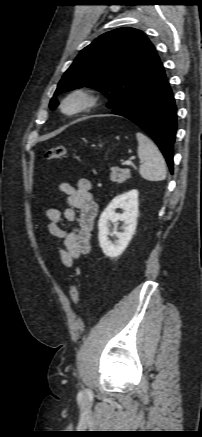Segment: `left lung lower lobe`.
I'll use <instances>...</instances> for the list:
<instances>
[{
	"mask_svg": "<svg viewBox=\"0 0 202 437\" xmlns=\"http://www.w3.org/2000/svg\"><path fill=\"white\" fill-rule=\"evenodd\" d=\"M112 114L130 119L158 145L173 173V145L177 114L172 89L165 71L112 110Z\"/></svg>",
	"mask_w": 202,
	"mask_h": 437,
	"instance_id": "0a47b994",
	"label": "left lung lower lobe"
}]
</instances>
